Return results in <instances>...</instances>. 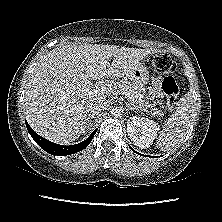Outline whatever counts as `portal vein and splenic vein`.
I'll return each instance as SVG.
<instances>
[{
  "instance_id": "18ae733b",
  "label": "portal vein and splenic vein",
  "mask_w": 222,
  "mask_h": 222,
  "mask_svg": "<svg viewBox=\"0 0 222 222\" xmlns=\"http://www.w3.org/2000/svg\"><path fill=\"white\" fill-rule=\"evenodd\" d=\"M126 97L128 98V97H129V94H126Z\"/></svg>"
}]
</instances>
